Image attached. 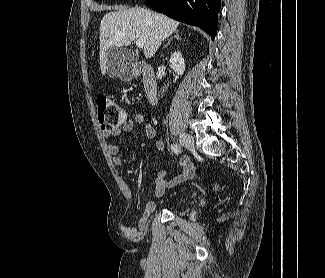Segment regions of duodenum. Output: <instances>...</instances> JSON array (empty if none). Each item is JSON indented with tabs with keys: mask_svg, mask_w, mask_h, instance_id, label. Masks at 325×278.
Returning a JSON list of instances; mask_svg holds the SVG:
<instances>
[{
	"mask_svg": "<svg viewBox=\"0 0 325 278\" xmlns=\"http://www.w3.org/2000/svg\"><path fill=\"white\" fill-rule=\"evenodd\" d=\"M136 72L142 77L143 93L146 101L155 105L158 102V86L155 73L148 64H139Z\"/></svg>",
	"mask_w": 325,
	"mask_h": 278,
	"instance_id": "1",
	"label": "duodenum"
}]
</instances>
